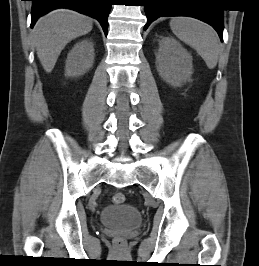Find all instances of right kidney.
I'll return each instance as SVG.
<instances>
[{"label": "right kidney", "instance_id": "right-kidney-1", "mask_svg": "<svg viewBox=\"0 0 259 266\" xmlns=\"http://www.w3.org/2000/svg\"><path fill=\"white\" fill-rule=\"evenodd\" d=\"M94 63V44L91 40L85 39L74 45L68 53L65 75L77 77L86 73Z\"/></svg>", "mask_w": 259, "mask_h": 266}]
</instances>
